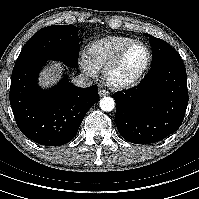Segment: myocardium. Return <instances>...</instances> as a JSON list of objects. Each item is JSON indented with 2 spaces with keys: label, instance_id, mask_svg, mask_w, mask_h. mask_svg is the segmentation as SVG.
Here are the masks:
<instances>
[{
  "label": "myocardium",
  "instance_id": "obj_1",
  "mask_svg": "<svg viewBox=\"0 0 199 199\" xmlns=\"http://www.w3.org/2000/svg\"><path fill=\"white\" fill-rule=\"evenodd\" d=\"M142 46L144 47L146 51V60L142 67V69L139 71V73L129 79V80H118L115 78L116 71L120 68L122 65L126 55L128 52L133 49L134 47ZM152 62V54L149 46L141 41H135L129 45H127L125 48H123L115 57V59L104 69V79L106 84L113 88L118 90H125L130 89L135 86H137L146 76L148 73L150 66Z\"/></svg>",
  "mask_w": 199,
  "mask_h": 199
}]
</instances>
